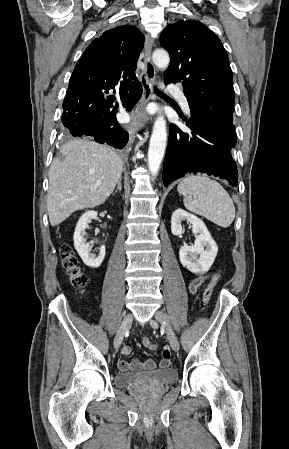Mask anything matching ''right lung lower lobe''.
Returning <instances> with one entry per match:
<instances>
[{"label":"right lung lower lobe","mask_w":289,"mask_h":449,"mask_svg":"<svg viewBox=\"0 0 289 449\" xmlns=\"http://www.w3.org/2000/svg\"><path fill=\"white\" fill-rule=\"evenodd\" d=\"M116 85L108 82L83 81L71 76L63 101L62 123L64 134L93 136L99 143L122 149L128 142V133L116 119L118 104L107 96ZM122 105L131 111L142 95V85L134 78L119 84Z\"/></svg>","instance_id":"98d812e1"}]
</instances>
